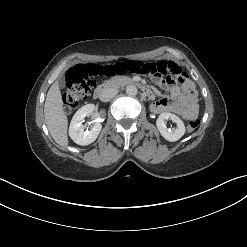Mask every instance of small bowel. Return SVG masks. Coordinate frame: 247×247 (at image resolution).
Wrapping results in <instances>:
<instances>
[{
  "label": "small bowel",
  "mask_w": 247,
  "mask_h": 247,
  "mask_svg": "<svg viewBox=\"0 0 247 247\" xmlns=\"http://www.w3.org/2000/svg\"><path fill=\"white\" fill-rule=\"evenodd\" d=\"M131 73L147 76L169 92L167 97L152 103V112H172L185 120L197 117L199 108L194 85L178 64L167 60L142 62Z\"/></svg>",
  "instance_id": "small-bowel-1"
}]
</instances>
